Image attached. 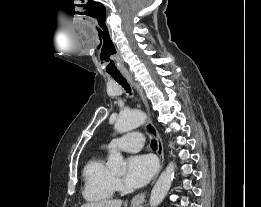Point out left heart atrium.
<instances>
[{"mask_svg": "<svg viewBox=\"0 0 261 207\" xmlns=\"http://www.w3.org/2000/svg\"><path fill=\"white\" fill-rule=\"evenodd\" d=\"M157 165L150 155H135L128 161L125 183L132 188L145 185L156 171Z\"/></svg>", "mask_w": 261, "mask_h": 207, "instance_id": "1", "label": "left heart atrium"}]
</instances>
